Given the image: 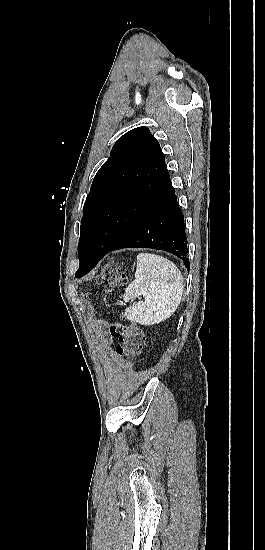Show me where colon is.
Here are the masks:
<instances>
[{"label": "colon", "mask_w": 265, "mask_h": 550, "mask_svg": "<svg viewBox=\"0 0 265 550\" xmlns=\"http://www.w3.org/2000/svg\"><path fill=\"white\" fill-rule=\"evenodd\" d=\"M98 279L104 284L108 293L114 292L127 283L126 274L115 262L105 264ZM110 333L118 340L115 352L119 358L133 359L141 352L145 336L137 324L116 321L111 323Z\"/></svg>", "instance_id": "colon-1"}]
</instances>
